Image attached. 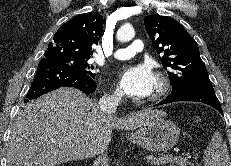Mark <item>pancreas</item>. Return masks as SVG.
I'll return each mask as SVG.
<instances>
[{
    "instance_id": "pancreas-1",
    "label": "pancreas",
    "mask_w": 231,
    "mask_h": 166,
    "mask_svg": "<svg viewBox=\"0 0 231 166\" xmlns=\"http://www.w3.org/2000/svg\"><path fill=\"white\" fill-rule=\"evenodd\" d=\"M162 157H164V158H160L158 161L153 162V164L154 165H166V164H170V166H174V163H177L176 160L170 159L171 158L170 156H162ZM186 164H185V166H186Z\"/></svg>"
}]
</instances>
